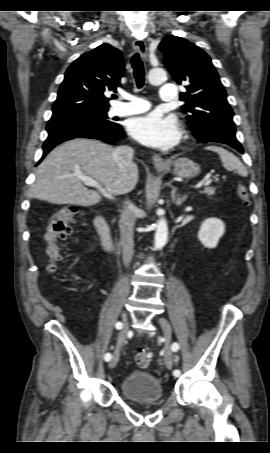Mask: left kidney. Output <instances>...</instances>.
Wrapping results in <instances>:
<instances>
[{
    "label": "left kidney",
    "instance_id": "1",
    "mask_svg": "<svg viewBox=\"0 0 270 453\" xmlns=\"http://www.w3.org/2000/svg\"><path fill=\"white\" fill-rule=\"evenodd\" d=\"M224 233L225 225L220 219L208 218L201 223L198 239L203 246L213 249L217 247Z\"/></svg>",
    "mask_w": 270,
    "mask_h": 453
}]
</instances>
